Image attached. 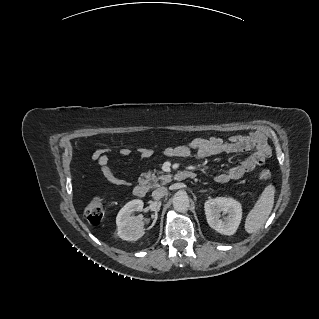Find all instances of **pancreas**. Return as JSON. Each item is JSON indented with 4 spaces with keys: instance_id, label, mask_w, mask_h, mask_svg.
I'll list each match as a JSON object with an SVG mask.
<instances>
[{
    "instance_id": "1",
    "label": "pancreas",
    "mask_w": 319,
    "mask_h": 319,
    "mask_svg": "<svg viewBox=\"0 0 319 319\" xmlns=\"http://www.w3.org/2000/svg\"><path fill=\"white\" fill-rule=\"evenodd\" d=\"M147 186L149 188H156L161 185H165L166 183L170 182V175H162V172H157V174L148 172L145 174Z\"/></svg>"
}]
</instances>
